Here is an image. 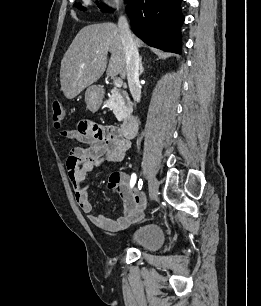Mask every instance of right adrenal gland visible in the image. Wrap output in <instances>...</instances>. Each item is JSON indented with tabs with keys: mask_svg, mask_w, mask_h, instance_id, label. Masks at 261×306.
Masks as SVG:
<instances>
[{
	"mask_svg": "<svg viewBox=\"0 0 261 306\" xmlns=\"http://www.w3.org/2000/svg\"><path fill=\"white\" fill-rule=\"evenodd\" d=\"M144 71V68H143V64H142V57H140V74H142Z\"/></svg>",
	"mask_w": 261,
	"mask_h": 306,
	"instance_id": "1",
	"label": "right adrenal gland"
}]
</instances>
